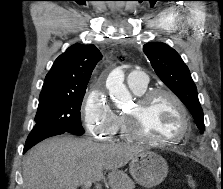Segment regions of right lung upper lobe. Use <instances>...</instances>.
Instances as JSON below:
<instances>
[{
    "instance_id": "obj_1",
    "label": "right lung upper lobe",
    "mask_w": 223,
    "mask_h": 189,
    "mask_svg": "<svg viewBox=\"0 0 223 189\" xmlns=\"http://www.w3.org/2000/svg\"><path fill=\"white\" fill-rule=\"evenodd\" d=\"M102 55L94 45L75 43L53 63L40 94L87 88L92 71Z\"/></svg>"
}]
</instances>
